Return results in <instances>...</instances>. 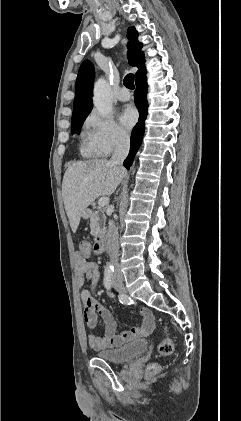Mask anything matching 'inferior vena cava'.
<instances>
[{"instance_id":"inferior-vena-cava-1","label":"inferior vena cava","mask_w":241,"mask_h":421,"mask_svg":"<svg viewBox=\"0 0 241 421\" xmlns=\"http://www.w3.org/2000/svg\"><path fill=\"white\" fill-rule=\"evenodd\" d=\"M130 138L128 135H121L117 142L111 157L110 163L119 168H123V162L129 153ZM107 249L110 256L111 264L114 266L113 277L122 278V273L118 263L119 245H118V230L113 222L109 221L107 230Z\"/></svg>"}]
</instances>
